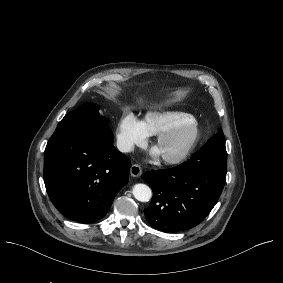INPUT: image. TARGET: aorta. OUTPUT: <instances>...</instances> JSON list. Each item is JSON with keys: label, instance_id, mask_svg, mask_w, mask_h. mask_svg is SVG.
Instances as JSON below:
<instances>
[{"label": "aorta", "instance_id": "762f6f07", "mask_svg": "<svg viewBox=\"0 0 283 283\" xmlns=\"http://www.w3.org/2000/svg\"><path fill=\"white\" fill-rule=\"evenodd\" d=\"M132 193L140 202H148L152 197V191L146 184H136L133 187Z\"/></svg>", "mask_w": 283, "mask_h": 283}]
</instances>
